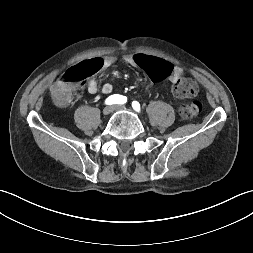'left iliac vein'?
I'll return each mask as SVG.
<instances>
[{"label":"left iliac vein","instance_id":"obj_1","mask_svg":"<svg viewBox=\"0 0 253 253\" xmlns=\"http://www.w3.org/2000/svg\"><path fill=\"white\" fill-rule=\"evenodd\" d=\"M126 109V106L124 105H116L114 106V110H125Z\"/></svg>","mask_w":253,"mask_h":253}]
</instances>
